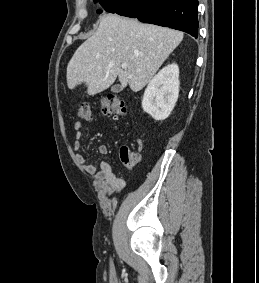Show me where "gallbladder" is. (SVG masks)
<instances>
[{"label":"gallbladder","mask_w":259,"mask_h":283,"mask_svg":"<svg viewBox=\"0 0 259 283\" xmlns=\"http://www.w3.org/2000/svg\"><path fill=\"white\" fill-rule=\"evenodd\" d=\"M122 86L121 85H119V84H115V85H113L112 87H111V91L113 92V93H119V92H121L122 91Z\"/></svg>","instance_id":"1"}]
</instances>
